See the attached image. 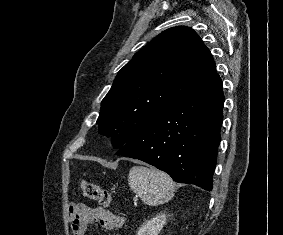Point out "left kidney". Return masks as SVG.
Segmentation results:
<instances>
[{"mask_svg":"<svg viewBox=\"0 0 283 235\" xmlns=\"http://www.w3.org/2000/svg\"><path fill=\"white\" fill-rule=\"evenodd\" d=\"M167 220L166 214H159L146 221L138 230L137 235H158Z\"/></svg>","mask_w":283,"mask_h":235,"instance_id":"1","label":"left kidney"}]
</instances>
